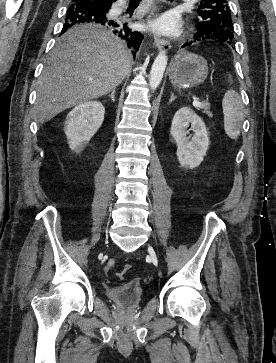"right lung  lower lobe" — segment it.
<instances>
[{"instance_id":"98d812e1","label":"right lung lower lobe","mask_w":276,"mask_h":363,"mask_svg":"<svg viewBox=\"0 0 276 363\" xmlns=\"http://www.w3.org/2000/svg\"><path fill=\"white\" fill-rule=\"evenodd\" d=\"M71 5L66 13V23L63 26L62 33H64L71 26L78 23H95L101 24L111 29L114 34L124 39L127 46L133 49L132 53L139 50V46L143 40V35L140 32L133 31L116 20L108 18L107 13L111 7L100 6L95 1L81 2Z\"/></svg>"}]
</instances>
